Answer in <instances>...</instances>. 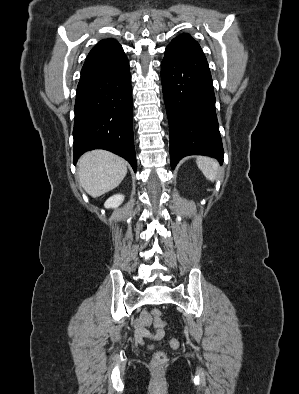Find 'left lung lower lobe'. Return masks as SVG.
Segmentation results:
<instances>
[{
    "label": "left lung lower lobe",
    "mask_w": 299,
    "mask_h": 394,
    "mask_svg": "<svg viewBox=\"0 0 299 394\" xmlns=\"http://www.w3.org/2000/svg\"><path fill=\"white\" fill-rule=\"evenodd\" d=\"M171 167L188 155L212 156L223 162L224 150L215 111V95L203 52L166 48L161 63Z\"/></svg>",
    "instance_id": "0a47b994"
}]
</instances>
